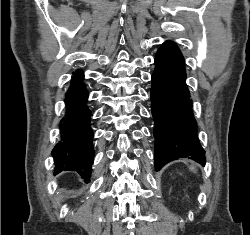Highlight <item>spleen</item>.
I'll return each mask as SVG.
<instances>
[{
	"label": "spleen",
	"mask_w": 250,
	"mask_h": 235,
	"mask_svg": "<svg viewBox=\"0 0 250 235\" xmlns=\"http://www.w3.org/2000/svg\"><path fill=\"white\" fill-rule=\"evenodd\" d=\"M190 169H191V170H194V168H193V167H191Z\"/></svg>",
	"instance_id": "1"
}]
</instances>
